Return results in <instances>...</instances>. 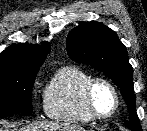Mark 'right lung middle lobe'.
<instances>
[{"instance_id":"obj_1","label":"right lung middle lobe","mask_w":147,"mask_h":131,"mask_svg":"<svg viewBox=\"0 0 147 131\" xmlns=\"http://www.w3.org/2000/svg\"><path fill=\"white\" fill-rule=\"evenodd\" d=\"M38 71H0V117L32 112V86Z\"/></svg>"}]
</instances>
